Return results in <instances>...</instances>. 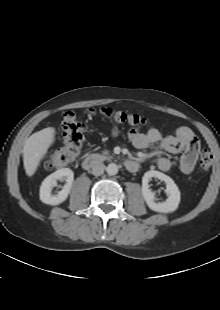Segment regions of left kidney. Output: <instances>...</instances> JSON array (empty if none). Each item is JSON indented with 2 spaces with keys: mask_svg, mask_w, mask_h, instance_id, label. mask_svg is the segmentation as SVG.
I'll return each mask as SVG.
<instances>
[{
  "mask_svg": "<svg viewBox=\"0 0 220 310\" xmlns=\"http://www.w3.org/2000/svg\"><path fill=\"white\" fill-rule=\"evenodd\" d=\"M152 177L158 178L166 183V193L168 198L164 202H155V194L149 189V181ZM142 195L148 207L156 212L171 213L174 212L180 203V191L175 182L162 172L150 170L142 178Z\"/></svg>",
  "mask_w": 220,
  "mask_h": 310,
  "instance_id": "5707ae66",
  "label": "left kidney"
}]
</instances>
